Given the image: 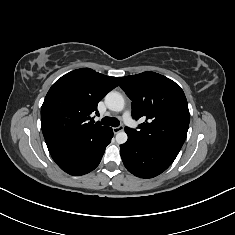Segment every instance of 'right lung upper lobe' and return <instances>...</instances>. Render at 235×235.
<instances>
[{
	"label": "right lung upper lobe",
	"instance_id": "1",
	"mask_svg": "<svg viewBox=\"0 0 235 235\" xmlns=\"http://www.w3.org/2000/svg\"><path fill=\"white\" fill-rule=\"evenodd\" d=\"M118 86L116 77L89 68L77 69L58 79L41 107L42 132L51 155L91 140L109 127L88 122L98 114V102Z\"/></svg>",
	"mask_w": 235,
	"mask_h": 235
}]
</instances>
